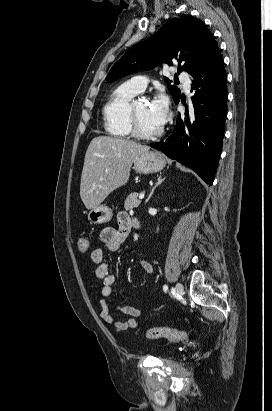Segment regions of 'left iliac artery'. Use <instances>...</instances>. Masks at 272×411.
<instances>
[{
    "instance_id": "left-iliac-artery-1",
    "label": "left iliac artery",
    "mask_w": 272,
    "mask_h": 411,
    "mask_svg": "<svg viewBox=\"0 0 272 411\" xmlns=\"http://www.w3.org/2000/svg\"><path fill=\"white\" fill-rule=\"evenodd\" d=\"M163 290H164V292H167L168 286H167V285H164V286H163Z\"/></svg>"
}]
</instances>
